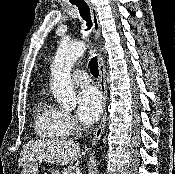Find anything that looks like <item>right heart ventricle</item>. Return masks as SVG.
<instances>
[{
  "mask_svg": "<svg viewBox=\"0 0 175 174\" xmlns=\"http://www.w3.org/2000/svg\"><path fill=\"white\" fill-rule=\"evenodd\" d=\"M35 131L45 139L58 140L66 137L62 125V112L46 98H41L35 109Z\"/></svg>",
  "mask_w": 175,
  "mask_h": 174,
  "instance_id": "obj_1",
  "label": "right heart ventricle"
}]
</instances>
